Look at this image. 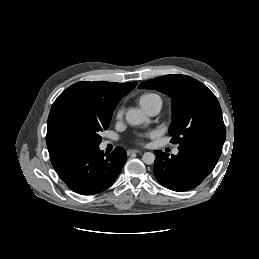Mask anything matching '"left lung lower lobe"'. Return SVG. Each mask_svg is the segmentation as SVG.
I'll return each mask as SVG.
<instances>
[{
  "label": "left lung lower lobe",
  "mask_w": 259,
  "mask_h": 259,
  "mask_svg": "<svg viewBox=\"0 0 259 259\" xmlns=\"http://www.w3.org/2000/svg\"><path fill=\"white\" fill-rule=\"evenodd\" d=\"M222 147V143L198 141L178 147L179 153L171 157L168 153L154 151V175L170 190L181 192L193 189L212 172Z\"/></svg>",
  "instance_id": "left-lung-lower-lobe-1"
}]
</instances>
